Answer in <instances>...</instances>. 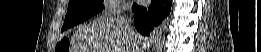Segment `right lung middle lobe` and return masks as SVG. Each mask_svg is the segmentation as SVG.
I'll return each instance as SVG.
<instances>
[{
    "mask_svg": "<svg viewBox=\"0 0 261 52\" xmlns=\"http://www.w3.org/2000/svg\"><path fill=\"white\" fill-rule=\"evenodd\" d=\"M103 10V0H70L62 30L75 26Z\"/></svg>",
    "mask_w": 261,
    "mask_h": 52,
    "instance_id": "obj_1",
    "label": "right lung middle lobe"
}]
</instances>
